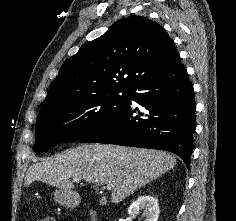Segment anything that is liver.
Masks as SVG:
<instances>
[{
    "label": "liver",
    "mask_w": 236,
    "mask_h": 221,
    "mask_svg": "<svg viewBox=\"0 0 236 221\" xmlns=\"http://www.w3.org/2000/svg\"><path fill=\"white\" fill-rule=\"evenodd\" d=\"M176 164L173 155L159 150L85 144L31 165L25 184L41 181L67 191L74 189L71 179L75 177L94 184H112L110 199L118 204Z\"/></svg>",
    "instance_id": "liver-1"
}]
</instances>
